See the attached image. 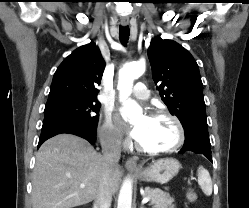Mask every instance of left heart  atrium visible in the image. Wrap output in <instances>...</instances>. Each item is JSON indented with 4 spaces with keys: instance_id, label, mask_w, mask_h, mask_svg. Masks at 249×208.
<instances>
[{
    "instance_id": "obj_1",
    "label": "left heart atrium",
    "mask_w": 249,
    "mask_h": 208,
    "mask_svg": "<svg viewBox=\"0 0 249 208\" xmlns=\"http://www.w3.org/2000/svg\"><path fill=\"white\" fill-rule=\"evenodd\" d=\"M143 132H144L143 123H138L137 125L128 130L129 135L137 141L142 137Z\"/></svg>"
}]
</instances>
